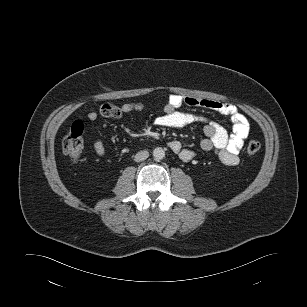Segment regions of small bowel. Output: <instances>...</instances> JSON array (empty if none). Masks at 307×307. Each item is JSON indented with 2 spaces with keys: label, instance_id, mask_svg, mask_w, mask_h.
<instances>
[{
  "label": "small bowel",
  "instance_id": "1",
  "mask_svg": "<svg viewBox=\"0 0 307 307\" xmlns=\"http://www.w3.org/2000/svg\"><path fill=\"white\" fill-rule=\"evenodd\" d=\"M182 105L206 108L229 116L232 122V133L228 134L223 126L208 120L202 115L181 111L179 108ZM143 108L144 105L138 102L124 103L120 106L108 103L102 105L98 112L90 111L87 114V120L89 122H95L99 116L119 118L123 114L141 111ZM196 122L204 123V134L206 138L201 141V148L205 151L214 150L220 160L226 165L233 166L238 164V155L244 144V140L249 135L250 125L247 118L238 111V108L234 104L213 99L183 97L173 94L169 97L164 107V114L155 119L156 125L172 128H179ZM168 146L184 162H189L194 157V152L191 149L184 148L177 140L170 141ZM93 148L97 155L102 157L106 155L102 141L96 140Z\"/></svg>",
  "mask_w": 307,
  "mask_h": 307
}]
</instances>
